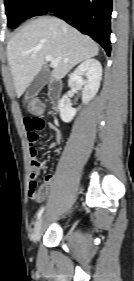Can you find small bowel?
<instances>
[{"label":"small bowel","instance_id":"1","mask_svg":"<svg viewBox=\"0 0 134 281\" xmlns=\"http://www.w3.org/2000/svg\"><path fill=\"white\" fill-rule=\"evenodd\" d=\"M23 121L30 144V178L32 181H35L40 174L41 168L44 166V163L39 161L36 157L37 150L35 145L39 140L38 132L45 128L46 121L41 116H26ZM48 126L54 135V141L50 143L49 147L55 148L60 142L61 132L53 124H48ZM55 179L56 175L54 173L47 174L44 178V183L45 185H51Z\"/></svg>","mask_w":134,"mask_h":281}]
</instances>
